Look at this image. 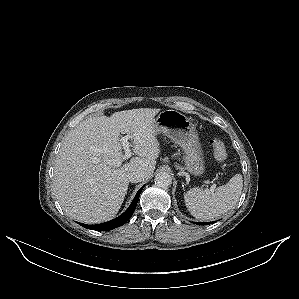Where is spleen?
I'll list each match as a JSON object with an SVG mask.
<instances>
[{
  "instance_id": "obj_1",
  "label": "spleen",
  "mask_w": 299,
  "mask_h": 299,
  "mask_svg": "<svg viewBox=\"0 0 299 299\" xmlns=\"http://www.w3.org/2000/svg\"><path fill=\"white\" fill-rule=\"evenodd\" d=\"M242 188V175L236 174L215 192L197 187L190 189L184 194L185 205L195 218L211 220L225 214L237 204Z\"/></svg>"
}]
</instances>
